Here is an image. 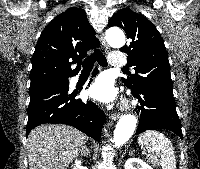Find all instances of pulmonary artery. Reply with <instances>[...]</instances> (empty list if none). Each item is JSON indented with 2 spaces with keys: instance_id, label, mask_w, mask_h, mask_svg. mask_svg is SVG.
I'll list each match as a JSON object with an SVG mask.
<instances>
[{
  "instance_id": "e3ab8cb5",
  "label": "pulmonary artery",
  "mask_w": 200,
  "mask_h": 169,
  "mask_svg": "<svg viewBox=\"0 0 200 169\" xmlns=\"http://www.w3.org/2000/svg\"><path fill=\"white\" fill-rule=\"evenodd\" d=\"M127 63V57L123 51L117 50L110 55V64L112 66H124Z\"/></svg>"
}]
</instances>
